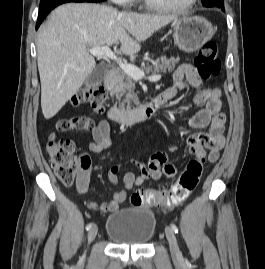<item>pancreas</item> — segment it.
I'll return each mask as SVG.
<instances>
[{
	"label": "pancreas",
	"mask_w": 265,
	"mask_h": 269,
	"mask_svg": "<svg viewBox=\"0 0 265 269\" xmlns=\"http://www.w3.org/2000/svg\"><path fill=\"white\" fill-rule=\"evenodd\" d=\"M179 57H161L155 61L152 66H147L142 69L143 72L156 75L159 72H170L175 69L179 63ZM135 84L133 78L127 75L124 71H117L115 76L114 93L119 102V108L122 110L130 109L132 103L138 104L137 95L134 93Z\"/></svg>",
	"instance_id": "obj_1"
}]
</instances>
